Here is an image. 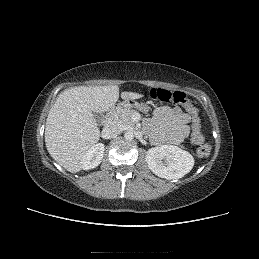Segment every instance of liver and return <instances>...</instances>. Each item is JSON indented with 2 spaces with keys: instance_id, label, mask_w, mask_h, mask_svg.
<instances>
[{
  "instance_id": "6515ba94",
  "label": "liver",
  "mask_w": 259,
  "mask_h": 259,
  "mask_svg": "<svg viewBox=\"0 0 259 259\" xmlns=\"http://www.w3.org/2000/svg\"><path fill=\"white\" fill-rule=\"evenodd\" d=\"M141 96L135 92L121 93L124 100ZM118 98L117 85L79 86L63 91L46 120L45 143L50 156L67 171L79 172L86 152L100 138L93 113L108 111Z\"/></svg>"
}]
</instances>
